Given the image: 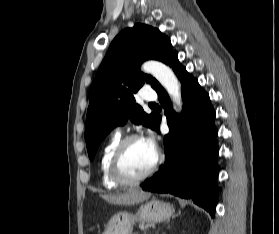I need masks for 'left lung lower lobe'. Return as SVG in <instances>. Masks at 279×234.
Masks as SVG:
<instances>
[{
	"mask_svg": "<svg viewBox=\"0 0 279 234\" xmlns=\"http://www.w3.org/2000/svg\"><path fill=\"white\" fill-rule=\"evenodd\" d=\"M167 65L181 82L183 110L181 114H175L167 92L161 85L155 88L169 126V133L164 137L166 157L161 169L141 186L145 191L171 193L191 199L214 217L219 152L215 111L209 95L179 63L177 53ZM160 121L159 116L157 132Z\"/></svg>",
	"mask_w": 279,
	"mask_h": 234,
	"instance_id": "1",
	"label": "left lung lower lobe"
}]
</instances>
